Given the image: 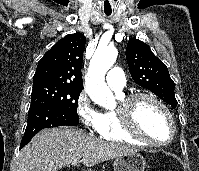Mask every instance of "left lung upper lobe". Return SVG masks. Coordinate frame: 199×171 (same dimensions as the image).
Masks as SVG:
<instances>
[{
	"instance_id": "left-lung-upper-lobe-1",
	"label": "left lung upper lobe",
	"mask_w": 199,
	"mask_h": 171,
	"mask_svg": "<svg viewBox=\"0 0 199 171\" xmlns=\"http://www.w3.org/2000/svg\"><path fill=\"white\" fill-rule=\"evenodd\" d=\"M126 59L135 83L150 90L173 108L177 106L174 82L168 68L146 43L131 38L126 48Z\"/></svg>"
}]
</instances>
